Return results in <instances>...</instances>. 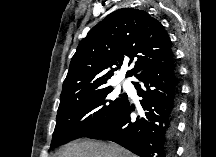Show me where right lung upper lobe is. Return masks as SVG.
<instances>
[{
	"label": "right lung upper lobe",
	"instance_id": "obj_1",
	"mask_svg": "<svg viewBox=\"0 0 216 157\" xmlns=\"http://www.w3.org/2000/svg\"><path fill=\"white\" fill-rule=\"evenodd\" d=\"M172 48L163 25L147 12L122 8L109 14L81 40L73 55L60 99L108 87L114 71L129 60L127 77L137 76Z\"/></svg>",
	"mask_w": 216,
	"mask_h": 157
}]
</instances>
